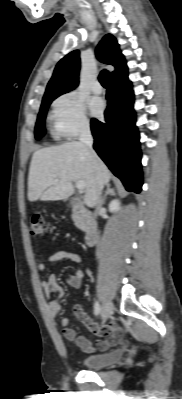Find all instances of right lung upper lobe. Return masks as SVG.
<instances>
[{
  "instance_id": "cb5924a9",
  "label": "right lung upper lobe",
  "mask_w": 182,
  "mask_h": 399,
  "mask_svg": "<svg viewBox=\"0 0 182 399\" xmlns=\"http://www.w3.org/2000/svg\"><path fill=\"white\" fill-rule=\"evenodd\" d=\"M96 55L100 61L115 67V71L110 73V79L119 78L127 74L126 61L119 50V44L111 34L104 36L96 49ZM79 69V51L75 50L67 54L56 65L43 99L58 97L76 88Z\"/></svg>"
}]
</instances>
